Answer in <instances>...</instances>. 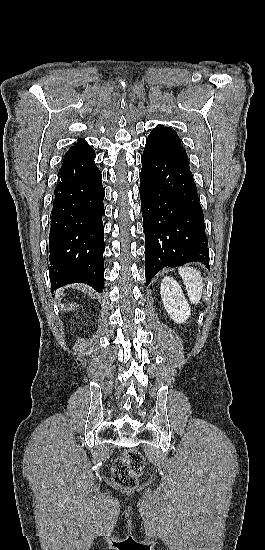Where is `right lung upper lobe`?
<instances>
[{
  "label": "right lung upper lobe",
  "instance_id": "cb5924a9",
  "mask_svg": "<svg viewBox=\"0 0 265 550\" xmlns=\"http://www.w3.org/2000/svg\"><path fill=\"white\" fill-rule=\"evenodd\" d=\"M91 148L85 140L79 139L66 153V155Z\"/></svg>",
  "mask_w": 265,
  "mask_h": 550
}]
</instances>
